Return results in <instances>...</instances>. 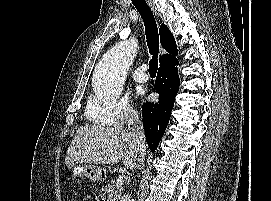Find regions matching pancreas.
I'll return each mask as SVG.
<instances>
[{"label": "pancreas", "mask_w": 271, "mask_h": 201, "mask_svg": "<svg viewBox=\"0 0 271 201\" xmlns=\"http://www.w3.org/2000/svg\"><path fill=\"white\" fill-rule=\"evenodd\" d=\"M122 190V185L112 180L102 190L103 201H118L122 195Z\"/></svg>", "instance_id": "1"}]
</instances>
